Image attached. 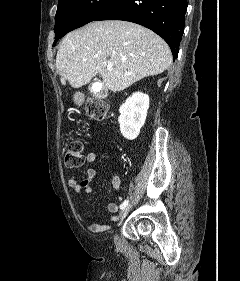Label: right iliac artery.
Segmentation results:
<instances>
[{
	"label": "right iliac artery",
	"mask_w": 240,
	"mask_h": 281,
	"mask_svg": "<svg viewBox=\"0 0 240 281\" xmlns=\"http://www.w3.org/2000/svg\"><path fill=\"white\" fill-rule=\"evenodd\" d=\"M128 200H125L121 205H120V208L123 209L125 208L127 205H128Z\"/></svg>",
	"instance_id": "obj_1"
}]
</instances>
